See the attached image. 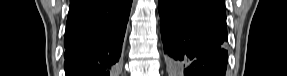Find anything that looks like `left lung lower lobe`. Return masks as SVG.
<instances>
[{"label": "left lung lower lobe", "instance_id": "0a47b994", "mask_svg": "<svg viewBox=\"0 0 287 76\" xmlns=\"http://www.w3.org/2000/svg\"><path fill=\"white\" fill-rule=\"evenodd\" d=\"M161 37L171 66L189 76H225L224 0H159Z\"/></svg>", "mask_w": 287, "mask_h": 76}]
</instances>
